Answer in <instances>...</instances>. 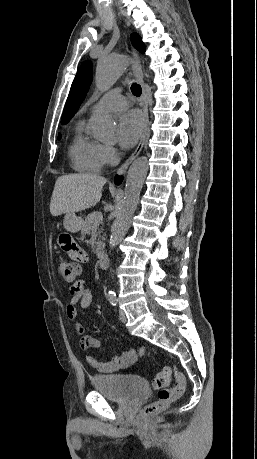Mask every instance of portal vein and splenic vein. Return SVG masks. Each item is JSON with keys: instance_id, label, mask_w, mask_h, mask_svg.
<instances>
[{"instance_id": "portal-vein-and-splenic-vein-1", "label": "portal vein and splenic vein", "mask_w": 257, "mask_h": 459, "mask_svg": "<svg viewBox=\"0 0 257 459\" xmlns=\"http://www.w3.org/2000/svg\"><path fill=\"white\" fill-rule=\"evenodd\" d=\"M103 220V215L102 213L98 212L96 216V223H100Z\"/></svg>"}]
</instances>
